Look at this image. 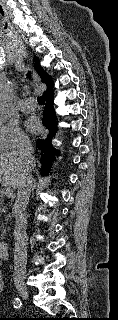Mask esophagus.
I'll return each mask as SVG.
<instances>
[{"instance_id": "1", "label": "esophagus", "mask_w": 118, "mask_h": 320, "mask_svg": "<svg viewBox=\"0 0 118 320\" xmlns=\"http://www.w3.org/2000/svg\"><path fill=\"white\" fill-rule=\"evenodd\" d=\"M47 134H48V131L46 130L45 133H44V135H43V138H44V139L46 138Z\"/></svg>"}]
</instances>
